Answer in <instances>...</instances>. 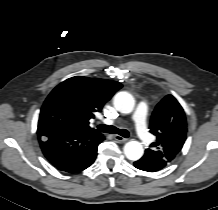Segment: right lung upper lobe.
<instances>
[{
    "instance_id": "cb5924a9",
    "label": "right lung upper lobe",
    "mask_w": 218,
    "mask_h": 210,
    "mask_svg": "<svg viewBox=\"0 0 218 210\" xmlns=\"http://www.w3.org/2000/svg\"><path fill=\"white\" fill-rule=\"evenodd\" d=\"M121 87L116 81L75 76L55 87L46 102L55 103L68 113L70 130L99 133L89 127V120Z\"/></svg>"
}]
</instances>
